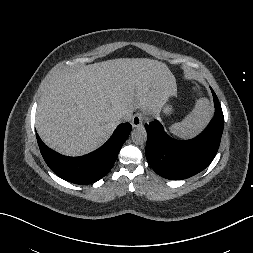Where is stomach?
I'll return each instance as SVG.
<instances>
[{
    "instance_id": "obj_1",
    "label": "stomach",
    "mask_w": 253,
    "mask_h": 253,
    "mask_svg": "<svg viewBox=\"0 0 253 253\" xmlns=\"http://www.w3.org/2000/svg\"><path fill=\"white\" fill-rule=\"evenodd\" d=\"M175 95H176V88H175V90H174L172 96H175ZM171 111H172V106H171V105H166V106L164 107V112H165L166 114L171 113Z\"/></svg>"
}]
</instances>
